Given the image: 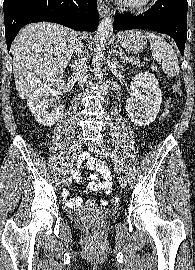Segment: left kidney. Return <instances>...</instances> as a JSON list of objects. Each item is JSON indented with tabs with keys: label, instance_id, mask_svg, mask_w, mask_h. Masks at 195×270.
Returning a JSON list of instances; mask_svg holds the SVG:
<instances>
[{
	"label": "left kidney",
	"instance_id": "1",
	"mask_svg": "<svg viewBox=\"0 0 195 270\" xmlns=\"http://www.w3.org/2000/svg\"><path fill=\"white\" fill-rule=\"evenodd\" d=\"M131 97L126 102V111L131 121L138 126L152 123L162 103V93L156 77L149 73H139L130 85Z\"/></svg>",
	"mask_w": 195,
	"mask_h": 270
}]
</instances>
